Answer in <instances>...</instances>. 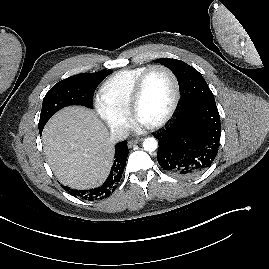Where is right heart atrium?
Returning a JSON list of instances; mask_svg holds the SVG:
<instances>
[{"label": "right heart atrium", "instance_id": "1", "mask_svg": "<svg viewBox=\"0 0 269 269\" xmlns=\"http://www.w3.org/2000/svg\"><path fill=\"white\" fill-rule=\"evenodd\" d=\"M95 109L100 118L115 132H125L130 127L128 113L109 105L102 97L95 99Z\"/></svg>", "mask_w": 269, "mask_h": 269}]
</instances>
